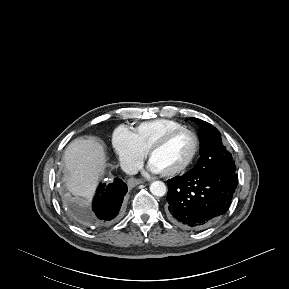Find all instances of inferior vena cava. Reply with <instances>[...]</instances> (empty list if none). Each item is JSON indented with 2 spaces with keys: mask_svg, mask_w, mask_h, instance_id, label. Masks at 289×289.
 <instances>
[{
  "mask_svg": "<svg viewBox=\"0 0 289 289\" xmlns=\"http://www.w3.org/2000/svg\"><path fill=\"white\" fill-rule=\"evenodd\" d=\"M122 170L129 175H134L138 172L139 166L134 161H124L121 164Z\"/></svg>",
  "mask_w": 289,
  "mask_h": 289,
  "instance_id": "1",
  "label": "inferior vena cava"
}]
</instances>
